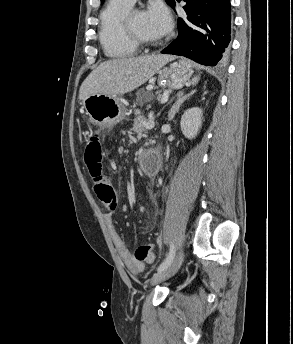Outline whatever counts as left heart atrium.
Masks as SVG:
<instances>
[{
    "label": "left heart atrium",
    "instance_id": "39dd6f15",
    "mask_svg": "<svg viewBox=\"0 0 293 344\" xmlns=\"http://www.w3.org/2000/svg\"><path fill=\"white\" fill-rule=\"evenodd\" d=\"M144 15L148 29L158 37L168 34L171 30L172 18L168 9L163 4H152Z\"/></svg>",
    "mask_w": 293,
    "mask_h": 344
}]
</instances>
